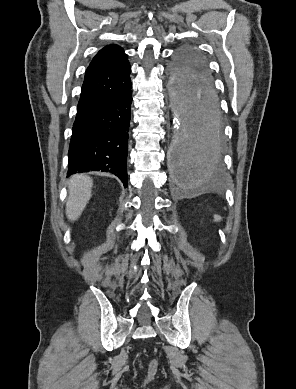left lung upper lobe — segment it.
Returning a JSON list of instances; mask_svg holds the SVG:
<instances>
[{"mask_svg": "<svg viewBox=\"0 0 296 389\" xmlns=\"http://www.w3.org/2000/svg\"><path fill=\"white\" fill-rule=\"evenodd\" d=\"M170 72L173 83L179 88L186 85L195 89L197 76H203L212 81L206 60L193 48H185L175 55ZM187 101L188 109L193 113L194 106L191 100L187 99Z\"/></svg>", "mask_w": 296, "mask_h": 389, "instance_id": "left-lung-upper-lobe-1", "label": "left lung upper lobe"}]
</instances>
